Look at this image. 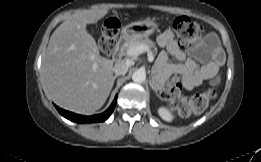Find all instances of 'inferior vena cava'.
I'll list each match as a JSON object with an SVG mask.
<instances>
[{
    "label": "inferior vena cava",
    "mask_w": 261,
    "mask_h": 162,
    "mask_svg": "<svg viewBox=\"0 0 261 162\" xmlns=\"http://www.w3.org/2000/svg\"><path fill=\"white\" fill-rule=\"evenodd\" d=\"M130 63L125 60H119L115 63L113 71L116 75H125L130 67Z\"/></svg>",
    "instance_id": "1"
}]
</instances>
